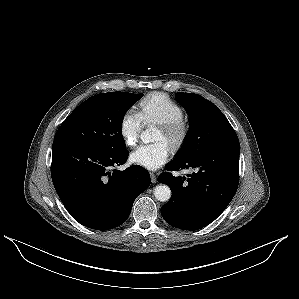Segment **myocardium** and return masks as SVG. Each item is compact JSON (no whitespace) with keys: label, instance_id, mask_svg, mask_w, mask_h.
Returning a JSON list of instances; mask_svg holds the SVG:
<instances>
[{"label":"myocardium","instance_id":"f54148a6","mask_svg":"<svg viewBox=\"0 0 299 299\" xmlns=\"http://www.w3.org/2000/svg\"><path fill=\"white\" fill-rule=\"evenodd\" d=\"M159 127L168 136L169 145L173 150H178L184 145L190 132V126L183 118L159 123Z\"/></svg>","mask_w":299,"mask_h":299}]
</instances>
